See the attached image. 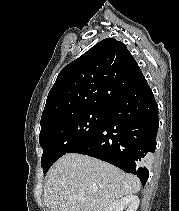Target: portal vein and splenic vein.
<instances>
[{"instance_id": "obj_1", "label": "portal vein and splenic vein", "mask_w": 179, "mask_h": 211, "mask_svg": "<svg viewBox=\"0 0 179 211\" xmlns=\"http://www.w3.org/2000/svg\"><path fill=\"white\" fill-rule=\"evenodd\" d=\"M80 200H81V201H84V199H82V198H81Z\"/></svg>"}]
</instances>
